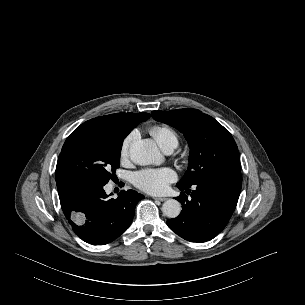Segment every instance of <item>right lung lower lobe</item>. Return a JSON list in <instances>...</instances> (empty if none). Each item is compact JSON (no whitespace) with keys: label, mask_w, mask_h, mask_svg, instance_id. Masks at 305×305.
I'll return each instance as SVG.
<instances>
[{"label":"right lung lower lobe","mask_w":305,"mask_h":305,"mask_svg":"<svg viewBox=\"0 0 305 305\" xmlns=\"http://www.w3.org/2000/svg\"><path fill=\"white\" fill-rule=\"evenodd\" d=\"M104 185L82 181L57 182L60 204L73 231L92 245H104L119 237L131 224L135 206L144 198L134 190H122L108 199Z\"/></svg>","instance_id":"98d812e1"}]
</instances>
